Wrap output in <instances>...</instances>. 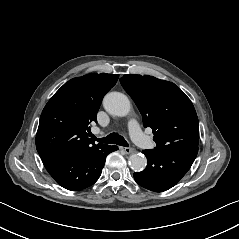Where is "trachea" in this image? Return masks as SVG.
<instances>
[{
  "instance_id": "3493384b",
  "label": "trachea",
  "mask_w": 239,
  "mask_h": 239,
  "mask_svg": "<svg viewBox=\"0 0 239 239\" xmlns=\"http://www.w3.org/2000/svg\"><path fill=\"white\" fill-rule=\"evenodd\" d=\"M90 137L93 140L98 141L100 143L117 144V145L124 146V147L129 146L128 142L124 139V137H122L118 133H111L108 136L103 137V138H97L93 134H91Z\"/></svg>"
}]
</instances>
